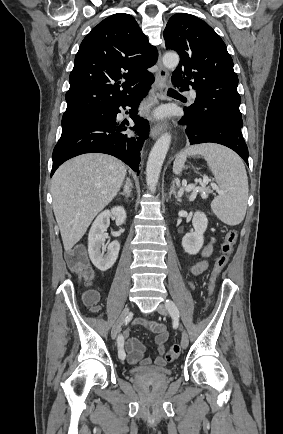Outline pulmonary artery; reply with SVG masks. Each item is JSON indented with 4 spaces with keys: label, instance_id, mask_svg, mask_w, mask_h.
<instances>
[{
    "label": "pulmonary artery",
    "instance_id": "pulmonary-artery-1",
    "mask_svg": "<svg viewBox=\"0 0 283 434\" xmlns=\"http://www.w3.org/2000/svg\"><path fill=\"white\" fill-rule=\"evenodd\" d=\"M189 95L191 98H195L196 97V92L194 90H190L189 91Z\"/></svg>",
    "mask_w": 283,
    "mask_h": 434
}]
</instances>
